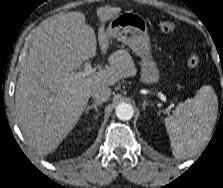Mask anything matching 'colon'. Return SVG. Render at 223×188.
<instances>
[{
	"label": "colon",
	"instance_id": "colon-1",
	"mask_svg": "<svg viewBox=\"0 0 223 188\" xmlns=\"http://www.w3.org/2000/svg\"><path fill=\"white\" fill-rule=\"evenodd\" d=\"M156 24L159 30L164 33H172L175 30V24L170 20L161 19L158 20ZM199 63V55L196 52H192L187 59V65L191 68H195L199 65Z\"/></svg>",
	"mask_w": 223,
	"mask_h": 188
}]
</instances>
